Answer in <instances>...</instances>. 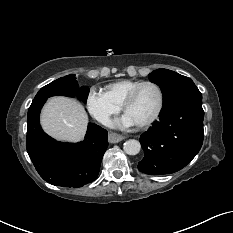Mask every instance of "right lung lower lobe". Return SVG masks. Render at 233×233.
Instances as JSON below:
<instances>
[{"mask_svg": "<svg viewBox=\"0 0 233 233\" xmlns=\"http://www.w3.org/2000/svg\"><path fill=\"white\" fill-rule=\"evenodd\" d=\"M47 98L33 101L27 116L26 148L37 172L52 185L81 187L93 182L107 149L108 133L89 123L85 140L77 144L58 142L39 124L40 110Z\"/></svg>", "mask_w": 233, "mask_h": 233, "instance_id": "right-lung-lower-lobe-1", "label": "right lung lower lobe"}]
</instances>
